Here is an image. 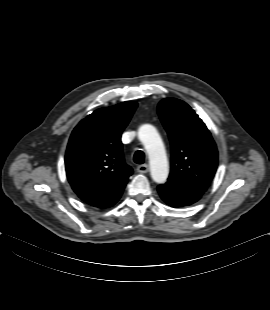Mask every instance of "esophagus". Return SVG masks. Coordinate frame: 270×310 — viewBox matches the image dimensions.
Here are the masks:
<instances>
[{"label": "esophagus", "instance_id": "esophagus-1", "mask_svg": "<svg viewBox=\"0 0 270 310\" xmlns=\"http://www.w3.org/2000/svg\"><path fill=\"white\" fill-rule=\"evenodd\" d=\"M137 171L140 173H147L149 171V166L147 164L139 165Z\"/></svg>", "mask_w": 270, "mask_h": 310}]
</instances>
